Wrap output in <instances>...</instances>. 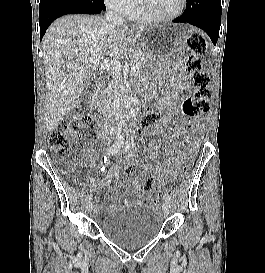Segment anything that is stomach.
I'll return each instance as SVG.
<instances>
[{
    "mask_svg": "<svg viewBox=\"0 0 265 273\" xmlns=\"http://www.w3.org/2000/svg\"><path fill=\"white\" fill-rule=\"evenodd\" d=\"M187 30H191V25H155L144 29L136 37L137 44H128V49L145 50L136 55L143 69H160V64H173L171 56H176V51L168 50L176 49Z\"/></svg>",
    "mask_w": 265,
    "mask_h": 273,
    "instance_id": "obj_1",
    "label": "stomach"
}]
</instances>
